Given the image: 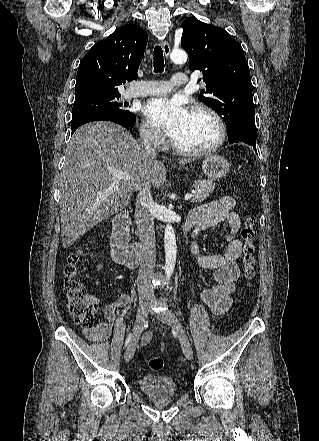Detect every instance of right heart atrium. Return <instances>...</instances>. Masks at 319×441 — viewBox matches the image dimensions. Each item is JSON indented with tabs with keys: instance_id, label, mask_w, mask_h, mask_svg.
<instances>
[{
	"instance_id": "right-heart-atrium-1",
	"label": "right heart atrium",
	"mask_w": 319,
	"mask_h": 441,
	"mask_svg": "<svg viewBox=\"0 0 319 441\" xmlns=\"http://www.w3.org/2000/svg\"><path fill=\"white\" fill-rule=\"evenodd\" d=\"M140 136L145 143L155 147H162L165 143L164 135L148 120L142 121Z\"/></svg>"
}]
</instances>
